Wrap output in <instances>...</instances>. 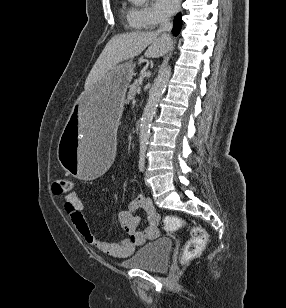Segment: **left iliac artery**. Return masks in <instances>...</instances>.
<instances>
[{"label":"left iliac artery","instance_id":"1","mask_svg":"<svg viewBox=\"0 0 286 308\" xmlns=\"http://www.w3.org/2000/svg\"><path fill=\"white\" fill-rule=\"evenodd\" d=\"M146 150L147 147L146 146H142L140 148V159H139V169L140 171H144L145 168V157H146Z\"/></svg>","mask_w":286,"mask_h":308}]
</instances>
